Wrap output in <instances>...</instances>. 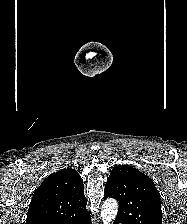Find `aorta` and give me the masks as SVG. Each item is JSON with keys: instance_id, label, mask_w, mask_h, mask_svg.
<instances>
[{"instance_id": "762f6f07", "label": "aorta", "mask_w": 187, "mask_h": 224, "mask_svg": "<svg viewBox=\"0 0 187 224\" xmlns=\"http://www.w3.org/2000/svg\"><path fill=\"white\" fill-rule=\"evenodd\" d=\"M118 203L114 199H107L104 201L101 209V218L103 224H111L117 215Z\"/></svg>"}]
</instances>
